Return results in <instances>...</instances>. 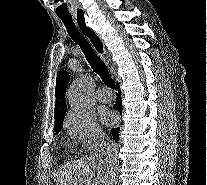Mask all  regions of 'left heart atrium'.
<instances>
[{"label": "left heart atrium", "mask_w": 207, "mask_h": 185, "mask_svg": "<svg viewBox=\"0 0 207 185\" xmlns=\"http://www.w3.org/2000/svg\"><path fill=\"white\" fill-rule=\"evenodd\" d=\"M101 119L105 124H110L114 121L115 116L113 112L106 110L101 113Z\"/></svg>", "instance_id": "obj_1"}]
</instances>
